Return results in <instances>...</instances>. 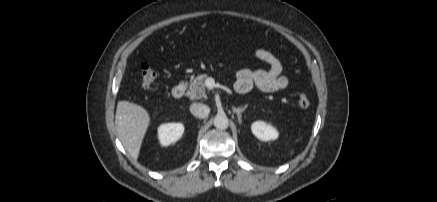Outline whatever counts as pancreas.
Masks as SVG:
<instances>
[{
	"label": "pancreas",
	"instance_id": "1",
	"mask_svg": "<svg viewBox=\"0 0 437 202\" xmlns=\"http://www.w3.org/2000/svg\"><path fill=\"white\" fill-rule=\"evenodd\" d=\"M207 79L206 74L198 75L192 82L190 83L189 89L187 91V96L190 99H202L207 98L206 95V85L205 81Z\"/></svg>",
	"mask_w": 437,
	"mask_h": 202
}]
</instances>
